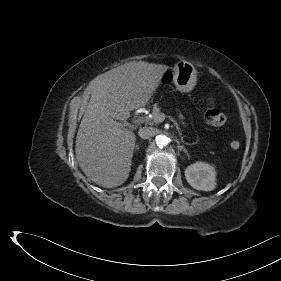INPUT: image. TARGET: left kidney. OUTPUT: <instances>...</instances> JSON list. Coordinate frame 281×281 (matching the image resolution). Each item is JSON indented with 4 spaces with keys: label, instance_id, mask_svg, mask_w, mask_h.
Returning <instances> with one entry per match:
<instances>
[{
    "label": "left kidney",
    "instance_id": "obj_1",
    "mask_svg": "<svg viewBox=\"0 0 281 281\" xmlns=\"http://www.w3.org/2000/svg\"><path fill=\"white\" fill-rule=\"evenodd\" d=\"M185 177L196 190L212 191L216 187V171L212 165L196 162L185 169Z\"/></svg>",
    "mask_w": 281,
    "mask_h": 281
}]
</instances>
